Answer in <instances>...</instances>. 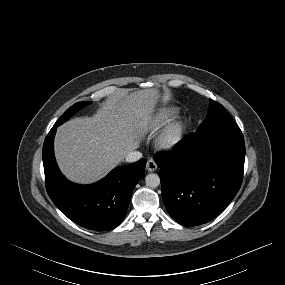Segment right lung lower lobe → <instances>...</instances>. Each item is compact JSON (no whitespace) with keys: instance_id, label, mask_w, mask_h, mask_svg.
Listing matches in <instances>:
<instances>
[{"instance_id":"98d812e1","label":"right lung lower lobe","mask_w":285,"mask_h":285,"mask_svg":"<svg viewBox=\"0 0 285 285\" xmlns=\"http://www.w3.org/2000/svg\"><path fill=\"white\" fill-rule=\"evenodd\" d=\"M58 125L48 133L43 145L46 190L53 203L73 222L97 231L111 230L124 219L134 187L144 176L146 160L117 167L91 185L69 182L59 171L53 140Z\"/></svg>"}]
</instances>
